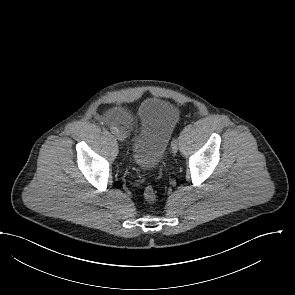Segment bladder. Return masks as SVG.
Listing matches in <instances>:
<instances>
[{
  "instance_id": "31cf9c89",
  "label": "bladder",
  "mask_w": 295,
  "mask_h": 295,
  "mask_svg": "<svg viewBox=\"0 0 295 295\" xmlns=\"http://www.w3.org/2000/svg\"><path fill=\"white\" fill-rule=\"evenodd\" d=\"M178 116L176 106L162 98L153 97L140 105L132 136V157L137 166L153 170L159 165Z\"/></svg>"
}]
</instances>
